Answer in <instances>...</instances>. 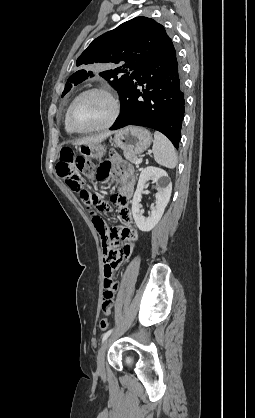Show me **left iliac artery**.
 Returning <instances> with one entry per match:
<instances>
[{
    "instance_id": "obj_1",
    "label": "left iliac artery",
    "mask_w": 255,
    "mask_h": 418,
    "mask_svg": "<svg viewBox=\"0 0 255 418\" xmlns=\"http://www.w3.org/2000/svg\"><path fill=\"white\" fill-rule=\"evenodd\" d=\"M113 332V329L108 330L106 333H104L103 337H102V342H104Z\"/></svg>"
}]
</instances>
